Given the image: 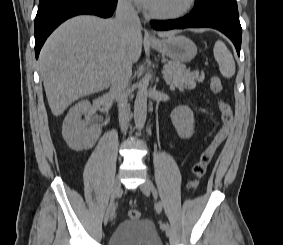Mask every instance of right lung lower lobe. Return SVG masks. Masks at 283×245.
Masks as SVG:
<instances>
[{"mask_svg": "<svg viewBox=\"0 0 283 245\" xmlns=\"http://www.w3.org/2000/svg\"><path fill=\"white\" fill-rule=\"evenodd\" d=\"M117 0H40L35 17V55L52 31L62 22L79 14L110 17Z\"/></svg>", "mask_w": 283, "mask_h": 245, "instance_id": "right-lung-lower-lobe-1", "label": "right lung lower lobe"}]
</instances>
